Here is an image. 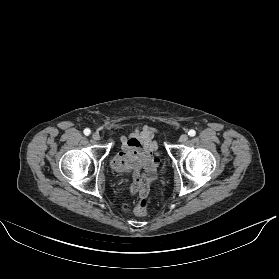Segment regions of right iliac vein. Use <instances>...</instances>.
Listing matches in <instances>:
<instances>
[{
  "mask_svg": "<svg viewBox=\"0 0 279 279\" xmlns=\"http://www.w3.org/2000/svg\"><path fill=\"white\" fill-rule=\"evenodd\" d=\"M101 136L99 133H93L92 134V139L95 140V141H98L100 140Z\"/></svg>",
  "mask_w": 279,
  "mask_h": 279,
  "instance_id": "obj_1",
  "label": "right iliac vein"
}]
</instances>
